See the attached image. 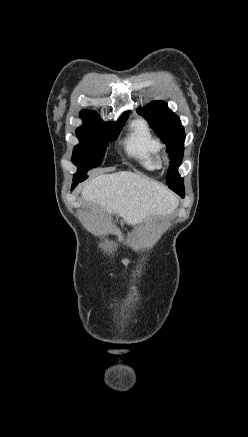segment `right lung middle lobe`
<instances>
[{
    "label": "right lung middle lobe",
    "instance_id": "dd1d6c3e",
    "mask_svg": "<svg viewBox=\"0 0 248 437\" xmlns=\"http://www.w3.org/2000/svg\"><path fill=\"white\" fill-rule=\"evenodd\" d=\"M127 118L128 115L117 123H84L76 130L80 143L75 146L72 157L73 163L79 167L74 180L84 181L86 171L101 163L107 143L116 140Z\"/></svg>",
    "mask_w": 248,
    "mask_h": 437
}]
</instances>
